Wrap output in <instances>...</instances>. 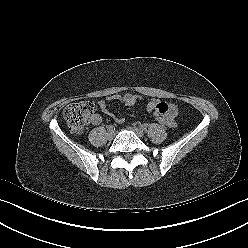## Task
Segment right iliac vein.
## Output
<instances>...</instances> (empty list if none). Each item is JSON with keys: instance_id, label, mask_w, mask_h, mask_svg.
Returning <instances> with one entry per match:
<instances>
[{"instance_id": "obj_1", "label": "right iliac vein", "mask_w": 248, "mask_h": 248, "mask_svg": "<svg viewBox=\"0 0 248 248\" xmlns=\"http://www.w3.org/2000/svg\"><path fill=\"white\" fill-rule=\"evenodd\" d=\"M115 133L114 131H108L107 136L109 139H112L114 137Z\"/></svg>"}]
</instances>
